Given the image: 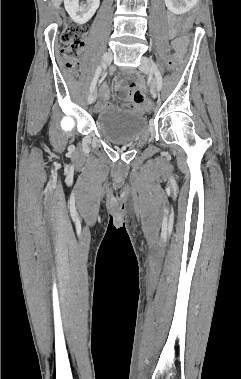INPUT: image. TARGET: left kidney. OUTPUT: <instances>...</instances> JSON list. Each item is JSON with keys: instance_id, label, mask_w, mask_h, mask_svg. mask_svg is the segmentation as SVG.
I'll return each mask as SVG.
<instances>
[{"instance_id": "5707ae66", "label": "left kidney", "mask_w": 241, "mask_h": 379, "mask_svg": "<svg viewBox=\"0 0 241 379\" xmlns=\"http://www.w3.org/2000/svg\"><path fill=\"white\" fill-rule=\"evenodd\" d=\"M199 0H165V4L172 13L181 15L192 9Z\"/></svg>"}]
</instances>
